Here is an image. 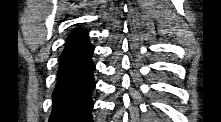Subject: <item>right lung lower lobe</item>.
Returning a JSON list of instances; mask_svg holds the SVG:
<instances>
[{"mask_svg": "<svg viewBox=\"0 0 221 122\" xmlns=\"http://www.w3.org/2000/svg\"><path fill=\"white\" fill-rule=\"evenodd\" d=\"M93 51L85 29L79 27L69 35L60 58L49 122H92Z\"/></svg>", "mask_w": 221, "mask_h": 122, "instance_id": "1", "label": "right lung lower lobe"}]
</instances>
